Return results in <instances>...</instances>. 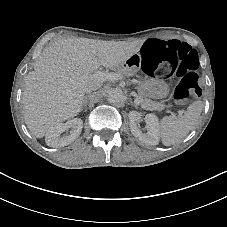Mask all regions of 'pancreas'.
Returning <instances> with one entry per match:
<instances>
[{
	"mask_svg": "<svg viewBox=\"0 0 227 227\" xmlns=\"http://www.w3.org/2000/svg\"><path fill=\"white\" fill-rule=\"evenodd\" d=\"M117 73L121 76H132V74H128L125 70L121 69L120 67L117 68ZM139 99L141 101V105L144 108H148L151 110H160L162 108L161 103L153 101L149 98H147L146 96L139 94Z\"/></svg>",
	"mask_w": 227,
	"mask_h": 227,
	"instance_id": "cf45deb5",
	"label": "pancreas"
}]
</instances>
